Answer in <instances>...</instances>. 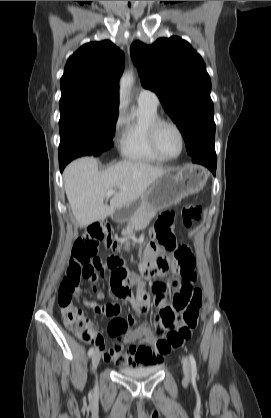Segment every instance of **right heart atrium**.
I'll list each match as a JSON object with an SVG mask.
<instances>
[{
  "label": "right heart atrium",
  "instance_id": "right-heart-atrium-1",
  "mask_svg": "<svg viewBox=\"0 0 271 418\" xmlns=\"http://www.w3.org/2000/svg\"><path fill=\"white\" fill-rule=\"evenodd\" d=\"M123 122H124V116H123V112L120 110L115 120V129L119 130Z\"/></svg>",
  "mask_w": 271,
  "mask_h": 418
}]
</instances>
